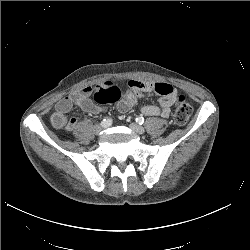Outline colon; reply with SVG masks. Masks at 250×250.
<instances>
[{
    "label": "colon",
    "instance_id": "obj_1",
    "mask_svg": "<svg viewBox=\"0 0 250 250\" xmlns=\"http://www.w3.org/2000/svg\"><path fill=\"white\" fill-rule=\"evenodd\" d=\"M94 100L99 104L116 103L120 112H128L135 104L138 95L132 90L122 91L116 84L105 82L93 91ZM192 115V107L185 96L179 95L173 112V119L179 125L185 124Z\"/></svg>",
    "mask_w": 250,
    "mask_h": 250
}]
</instances>
